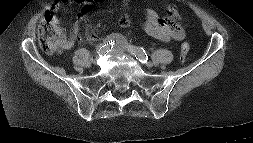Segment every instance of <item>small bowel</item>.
<instances>
[{
  "label": "small bowel",
  "mask_w": 253,
  "mask_h": 143,
  "mask_svg": "<svg viewBox=\"0 0 253 143\" xmlns=\"http://www.w3.org/2000/svg\"><path fill=\"white\" fill-rule=\"evenodd\" d=\"M100 0H56L49 12L52 14V22L59 24V19L54 16L56 12L64 5H75L81 8V14L76 19L70 37L65 41L64 47L71 49L74 44L81 38V22L83 16ZM170 18L161 17L158 13L148 8L146 10L145 19L142 23L145 32L161 41L176 40L180 41L184 38V30L178 24H174L172 20L178 19V12L172 8L170 10ZM131 24V20L128 17H123L120 20L122 27H127ZM96 38L93 35H89V40L94 41Z\"/></svg>",
  "instance_id": "small-bowel-1"
}]
</instances>
